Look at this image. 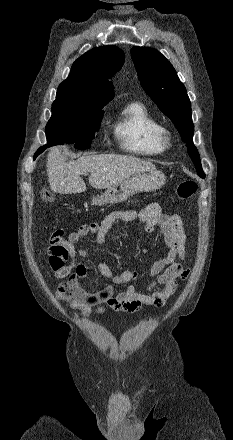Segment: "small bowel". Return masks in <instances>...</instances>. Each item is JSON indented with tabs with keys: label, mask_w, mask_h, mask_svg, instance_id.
I'll use <instances>...</instances> for the list:
<instances>
[{
	"label": "small bowel",
	"mask_w": 233,
	"mask_h": 440,
	"mask_svg": "<svg viewBox=\"0 0 233 440\" xmlns=\"http://www.w3.org/2000/svg\"><path fill=\"white\" fill-rule=\"evenodd\" d=\"M136 220L144 223L146 232L152 233L159 229L164 237L167 254L155 261L148 270V274L154 277L155 281L143 291L134 286H128L117 293H114L111 287L96 292L84 289L80 281L86 277L87 267L78 261V256L86 257L87 251L77 250L75 244L86 236L93 235L96 244L102 246L115 222ZM46 253L54 277L67 278L59 285L55 296L67 300L73 308L81 311L83 317L92 314L103 315L108 309L133 314L140 311L143 306L162 307L167 298L176 292L178 281H184L189 275V269L182 263L187 257L182 220L177 214L162 213L160 205L156 202L148 204L141 210L113 211L100 223L81 225L67 238H64V231L58 229L51 235ZM97 269L113 285H125L135 280L138 275L135 270L130 269L114 273L103 262L97 265Z\"/></svg>",
	"instance_id": "obj_1"
}]
</instances>
